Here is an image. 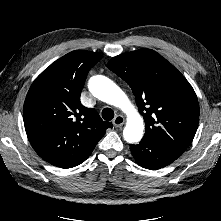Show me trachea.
Wrapping results in <instances>:
<instances>
[{"mask_svg":"<svg viewBox=\"0 0 221 221\" xmlns=\"http://www.w3.org/2000/svg\"><path fill=\"white\" fill-rule=\"evenodd\" d=\"M102 117L104 120L110 121L114 118V111L111 108H104L102 110Z\"/></svg>","mask_w":221,"mask_h":221,"instance_id":"1","label":"trachea"}]
</instances>
